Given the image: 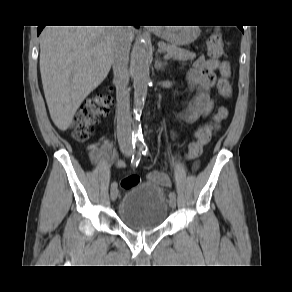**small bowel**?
<instances>
[{
    "mask_svg": "<svg viewBox=\"0 0 292 292\" xmlns=\"http://www.w3.org/2000/svg\"><path fill=\"white\" fill-rule=\"evenodd\" d=\"M217 72L223 78H229L231 74L229 64L225 61L206 59L204 56H200L194 61L192 68L187 72L186 79L190 89L195 90V94L189 111L183 115L185 121L192 122L211 113L213 100L210 91L215 83ZM90 158L94 164L99 166L125 167V162L118 158L117 151L110 141H106L101 147L91 146ZM147 177L160 186L169 187L171 185L169 176L162 171H152Z\"/></svg>",
    "mask_w": 292,
    "mask_h": 292,
    "instance_id": "obj_1",
    "label": "small bowel"
}]
</instances>
